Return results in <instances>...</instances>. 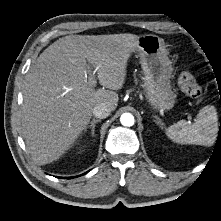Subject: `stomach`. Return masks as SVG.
Wrapping results in <instances>:
<instances>
[{"mask_svg": "<svg viewBox=\"0 0 221 221\" xmlns=\"http://www.w3.org/2000/svg\"><path fill=\"white\" fill-rule=\"evenodd\" d=\"M136 50L143 69L147 100L158 110L171 109L176 95L170 85L173 68L164 40L156 35L141 36Z\"/></svg>", "mask_w": 221, "mask_h": 221, "instance_id": "stomach-1", "label": "stomach"}]
</instances>
